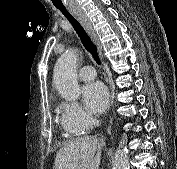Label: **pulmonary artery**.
<instances>
[{"mask_svg":"<svg viewBox=\"0 0 177 169\" xmlns=\"http://www.w3.org/2000/svg\"><path fill=\"white\" fill-rule=\"evenodd\" d=\"M79 78L83 81H92L96 78V71L92 66H84L79 71Z\"/></svg>","mask_w":177,"mask_h":169,"instance_id":"e3ab8cb5","label":"pulmonary artery"}]
</instances>
